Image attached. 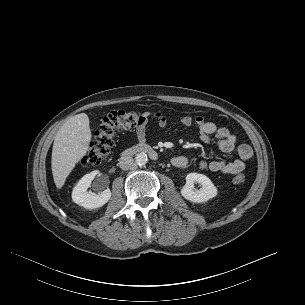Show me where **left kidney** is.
I'll use <instances>...</instances> for the list:
<instances>
[{"label":"left kidney","mask_w":305,"mask_h":305,"mask_svg":"<svg viewBox=\"0 0 305 305\" xmlns=\"http://www.w3.org/2000/svg\"><path fill=\"white\" fill-rule=\"evenodd\" d=\"M196 183L201 185L200 189H195ZM181 195L190 202L204 203L217 195V188L207 176L189 173L186 176V184L181 189Z\"/></svg>","instance_id":"1"}]
</instances>
